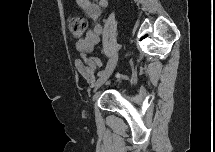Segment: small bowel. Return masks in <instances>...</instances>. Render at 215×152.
<instances>
[{
  "label": "small bowel",
  "mask_w": 215,
  "mask_h": 152,
  "mask_svg": "<svg viewBox=\"0 0 215 152\" xmlns=\"http://www.w3.org/2000/svg\"><path fill=\"white\" fill-rule=\"evenodd\" d=\"M78 6L94 21L92 29L86 36L76 42V49L85 56L90 53L100 42V36L103 32V26L98 22L102 10L108 5L107 0H77ZM76 70L83 76L89 85H93L94 80L92 74L86 71V66L82 60L76 59L74 62Z\"/></svg>",
  "instance_id": "obj_1"
}]
</instances>
